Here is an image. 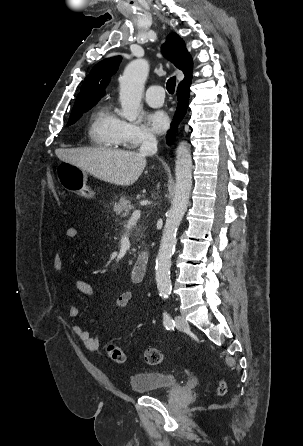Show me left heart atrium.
Masks as SVG:
<instances>
[{
  "label": "left heart atrium",
  "instance_id": "obj_1",
  "mask_svg": "<svg viewBox=\"0 0 303 446\" xmlns=\"http://www.w3.org/2000/svg\"><path fill=\"white\" fill-rule=\"evenodd\" d=\"M147 121L150 128L159 134L165 132L170 123L168 115L162 110H156L148 113Z\"/></svg>",
  "mask_w": 303,
  "mask_h": 446
}]
</instances>
